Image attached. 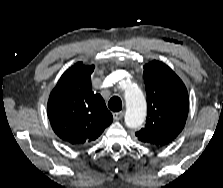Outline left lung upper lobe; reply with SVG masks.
Returning a JSON list of instances; mask_svg holds the SVG:
<instances>
[{"instance_id":"1","label":"left lung upper lobe","mask_w":223,"mask_h":188,"mask_svg":"<svg viewBox=\"0 0 223 188\" xmlns=\"http://www.w3.org/2000/svg\"><path fill=\"white\" fill-rule=\"evenodd\" d=\"M148 116L135 133L138 140L153 148L171 143L182 131L189 110L187 89L167 65L152 61L144 66Z\"/></svg>"}]
</instances>
